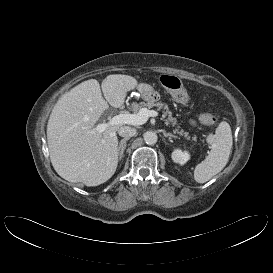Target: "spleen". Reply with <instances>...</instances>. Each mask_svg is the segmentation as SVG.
Segmentation results:
<instances>
[{
    "label": "spleen",
    "instance_id": "spleen-1",
    "mask_svg": "<svg viewBox=\"0 0 273 273\" xmlns=\"http://www.w3.org/2000/svg\"><path fill=\"white\" fill-rule=\"evenodd\" d=\"M207 141L211 145V150L194 170V179L198 183L207 182L226 166L233 144L230 125L225 121L221 122L215 134L207 137Z\"/></svg>",
    "mask_w": 273,
    "mask_h": 273
}]
</instances>
